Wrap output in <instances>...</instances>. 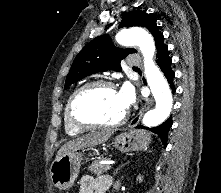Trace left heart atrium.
<instances>
[{"label":"left heart atrium","instance_id":"left-heart-atrium-1","mask_svg":"<svg viewBox=\"0 0 221 193\" xmlns=\"http://www.w3.org/2000/svg\"><path fill=\"white\" fill-rule=\"evenodd\" d=\"M118 96L121 104L127 110L134 102L135 95L132 87L129 84H124L118 91Z\"/></svg>","mask_w":221,"mask_h":193}]
</instances>
